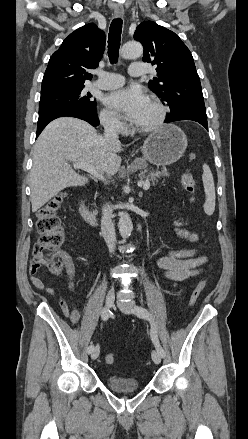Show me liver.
<instances>
[{
  "instance_id": "1",
  "label": "liver",
  "mask_w": 248,
  "mask_h": 439,
  "mask_svg": "<svg viewBox=\"0 0 248 439\" xmlns=\"http://www.w3.org/2000/svg\"><path fill=\"white\" fill-rule=\"evenodd\" d=\"M120 142L106 140L87 122L61 117L49 123L33 148L30 171L32 212H36L61 190L85 186L87 177L77 174L70 163L93 165L100 175H114L120 165Z\"/></svg>"
}]
</instances>
